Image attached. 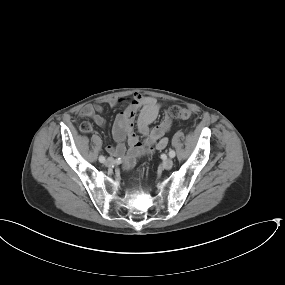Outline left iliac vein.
Masks as SVG:
<instances>
[{"label":"left iliac vein","instance_id":"left-iliac-vein-1","mask_svg":"<svg viewBox=\"0 0 285 285\" xmlns=\"http://www.w3.org/2000/svg\"><path fill=\"white\" fill-rule=\"evenodd\" d=\"M173 166V160L171 158L165 159L162 163V167L165 170L171 169Z\"/></svg>","mask_w":285,"mask_h":285}]
</instances>
